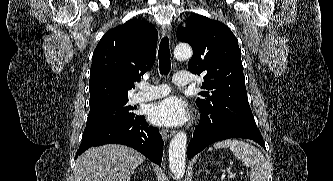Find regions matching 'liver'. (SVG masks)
Instances as JSON below:
<instances>
[{
    "instance_id": "obj_1",
    "label": "liver",
    "mask_w": 333,
    "mask_h": 181,
    "mask_svg": "<svg viewBox=\"0 0 333 181\" xmlns=\"http://www.w3.org/2000/svg\"><path fill=\"white\" fill-rule=\"evenodd\" d=\"M144 156L119 144L92 147L78 157L75 181H130Z\"/></svg>"
}]
</instances>
